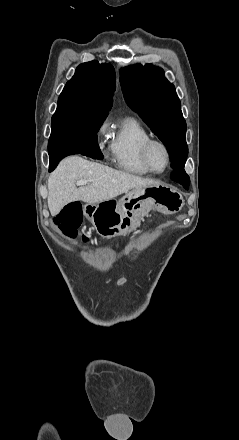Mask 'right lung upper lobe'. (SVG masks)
Returning a JSON list of instances; mask_svg holds the SVG:
<instances>
[{"label": "right lung upper lobe", "instance_id": "obj_1", "mask_svg": "<svg viewBox=\"0 0 239 440\" xmlns=\"http://www.w3.org/2000/svg\"><path fill=\"white\" fill-rule=\"evenodd\" d=\"M116 86V74L109 63L80 64L59 96L57 109L77 114L108 115Z\"/></svg>", "mask_w": 239, "mask_h": 440}]
</instances>
